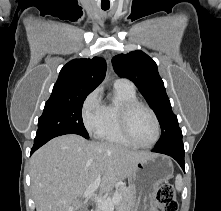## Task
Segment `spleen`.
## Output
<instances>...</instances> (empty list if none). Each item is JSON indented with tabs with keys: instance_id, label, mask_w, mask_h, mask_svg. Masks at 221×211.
<instances>
[{
	"instance_id": "1",
	"label": "spleen",
	"mask_w": 221,
	"mask_h": 211,
	"mask_svg": "<svg viewBox=\"0 0 221 211\" xmlns=\"http://www.w3.org/2000/svg\"><path fill=\"white\" fill-rule=\"evenodd\" d=\"M183 182H182V176L178 174L175 178V188L178 192L182 190Z\"/></svg>"
}]
</instances>
